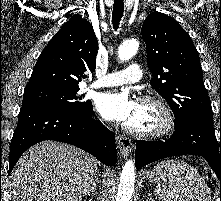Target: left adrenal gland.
Listing matches in <instances>:
<instances>
[{
  "mask_svg": "<svg viewBox=\"0 0 221 201\" xmlns=\"http://www.w3.org/2000/svg\"><path fill=\"white\" fill-rule=\"evenodd\" d=\"M151 197H152L151 194H148V197H147L146 201H149V200L153 201Z\"/></svg>",
  "mask_w": 221,
  "mask_h": 201,
  "instance_id": "obj_1",
  "label": "left adrenal gland"
}]
</instances>
